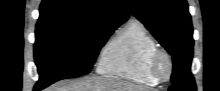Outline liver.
I'll use <instances>...</instances> for the list:
<instances>
[{
    "mask_svg": "<svg viewBox=\"0 0 220 91\" xmlns=\"http://www.w3.org/2000/svg\"><path fill=\"white\" fill-rule=\"evenodd\" d=\"M46 91H147L138 86L118 78L89 77L79 81H66L54 84Z\"/></svg>",
    "mask_w": 220,
    "mask_h": 91,
    "instance_id": "liver-1",
    "label": "liver"
}]
</instances>
